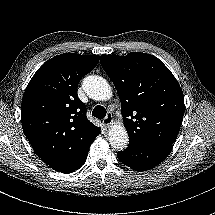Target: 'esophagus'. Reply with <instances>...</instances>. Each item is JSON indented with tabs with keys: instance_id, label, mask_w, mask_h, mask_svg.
<instances>
[{
	"instance_id": "esophagus-1",
	"label": "esophagus",
	"mask_w": 215,
	"mask_h": 215,
	"mask_svg": "<svg viewBox=\"0 0 215 215\" xmlns=\"http://www.w3.org/2000/svg\"><path fill=\"white\" fill-rule=\"evenodd\" d=\"M102 123H103V125L105 127H108V128L111 127L114 124V119H113V116H112V114L110 112L103 119Z\"/></svg>"
}]
</instances>
